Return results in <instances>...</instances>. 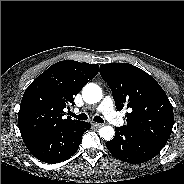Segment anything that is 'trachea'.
Returning <instances> with one entry per match:
<instances>
[{"label":"trachea","mask_w":184,"mask_h":184,"mask_svg":"<svg viewBox=\"0 0 184 184\" xmlns=\"http://www.w3.org/2000/svg\"><path fill=\"white\" fill-rule=\"evenodd\" d=\"M70 115L78 120H87L88 117L85 113H82V114H79V115H76L74 113H70ZM95 122H98V123H104V120L99 117V116H95L94 119H93Z\"/></svg>","instance_id":"3493384b"}]
</instances>
